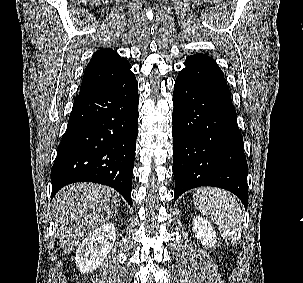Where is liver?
Returning a JSON list of instances; mask_svg holds the SVG:
<instances>
[{"instance_id":"1","label":"liver","mask_w":303,"mask_h":283,"mask_svg":"<svg viewBox=\"0 0 303 283\" xmlns=\"http://www.w3.org/2000/svg\"><path fill=\"white\" fill-rule=\"evenodd\" d=\"M117 192L92 183L72 184L53 199L52 210L59 245L70 254L81 240L117 213Z\"/></svg>"}]
</instances>
